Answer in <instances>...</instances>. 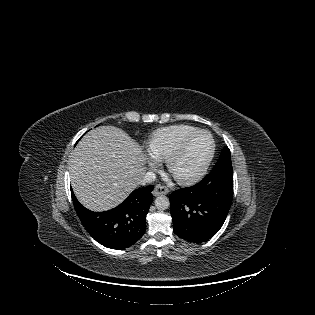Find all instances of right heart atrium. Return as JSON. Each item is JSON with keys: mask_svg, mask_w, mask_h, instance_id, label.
<instances>
[{"mask_svg": "<svg viewBox=\"0 0 315 315\" xmlns=\"http://www.w3.org/2000/svg\"><path fill=\"white\" fill-rule=\"evenodd\" d=\"M150 164H151V165H154V164H155V158H154V157H152V159H151V161H150Z\"/></svg>", "mask_w": 315, "mask_h": 315, "instance_id": "obj_1", "label": "right heart atrium"}]
</instances>
